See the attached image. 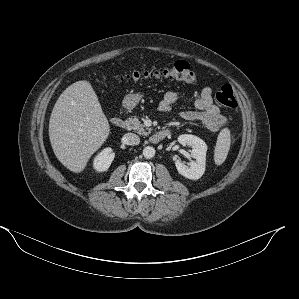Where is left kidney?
I'll return each mask as SVG.
<instances>
[{
  "mask_svg": "<svg viewBox=\"0 0 299 299\" xmlns=\"http://www.w3.org/2000/svg\"><path fill=\"white\" fill-rule=\"evenodd\" d=\"M178 142L183 146L192 147L191 155L195 161L185 165L181 160L175 162V166L179 174L191 180H197L202 177L205 172L206 165V143L197 136L190 134H183L178 137Z\"/></svg>",
  "mask_w": 299,
  "mask_h": 299,
  "instance_id": "1",
  "label": "left kidney"
}]
</instances>
